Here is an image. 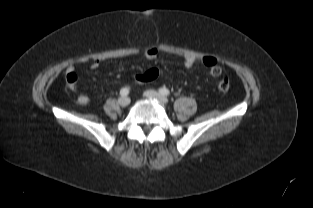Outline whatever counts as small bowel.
Returning <instances> with one entry per match:
<instances>
[{
	"label": "small bowel",
	"mask_w": 313,
	"mask_h": 208,
	"mask_svg": "<svg viewBox=\"0 0 313 208\" xmlns=\"http://www.w3.org/2000/svg\"><path fill=\"white\" fill-rule=\"evenodd\" d=\"M157 53H158V51L156 48L148 47L143 51V57L147 60H153L156 58ZM198 62L202 63L204 66L208 67L209 69L212 66L218 65L216 58H214L212 56H206V57H203L201 59H197L195 57L189 56V57H186L184 59V65L187 68L193 67ZM100 63H101L100 59L91 58V57H83V58L79 59L78 61H76V64H86L93 69L97 68L100 65ZM70 77H75L76 80H78L77 75L75 73V66L74 65L69 66L67 69V76H66L67 83H68V78H70ZM70 89L76 90V87H74V88L70 87ZM89 101L90 100H89V97L87 95H85L83 93H79L77 95V102L80 105L86 106L89 104Z\"/></svg>",
	"instance_id": "small-bowel-1"
}]
</instances>
